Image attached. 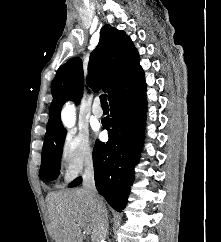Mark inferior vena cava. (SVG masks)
Returning <instances> with one entry per match:
<instances>
[{
	"label": "inferior vena cava",
	"mask_w": 221,
	"mask_h": 242,
	"mask_svg": "<svg viewBox=\"0 0 221 242\" xmlns=\"http://www.w3.org/2000/svg\"><path fill=\"white\" fill-rule=\"evenodd\" d=\"M83 190L95 211L94 239L96 242L105 240L108 233L107 209L97 193L92 165L85 168L83 175Z\"/></svg>",
	"instance_id": "602c4592"
}]
</instances>
